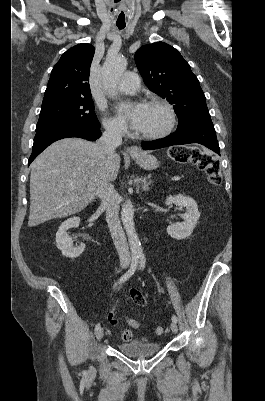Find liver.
<instances>
[{
  "label": "liver",
  "instance_id": "liver-1",
  "mask_svg": "<svg viewBox=\"0 0 265 401\" xmlns=\"http://www.w3.org/2000/svg\"><path fill=\"white\" fill-rule=\"evenodd\" d=\"M120 156L107 162L97 142L62 138L45 148L31 164L28 227L83 211L102 180L117 178Z\"/></svg>",
  "mask_w": 265,
  "mask_h": 401
}]
</instances>
